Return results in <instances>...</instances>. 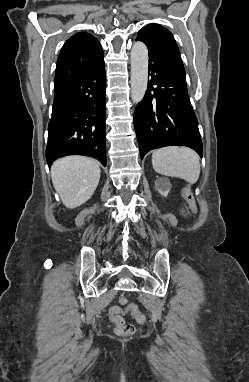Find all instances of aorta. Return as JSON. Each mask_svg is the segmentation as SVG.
Listing matches in <instances>:
<instances>
[{
    "mask_svg": "<svg viewBox=\"0 0 249 382\" xmlns=\"http://www.w3.org/2000/svg\"><path fill=\"white\" fill-rule=\"evenodd\" d=\"M148 82V49L137 41L131 49V99L139 103L146 92Z\"/></svg>",
    "mask_w": 249,
    "mask_h": 382,
    "instance_id": "762f6f07",
    "label": "aorta"
}]
</instances>
